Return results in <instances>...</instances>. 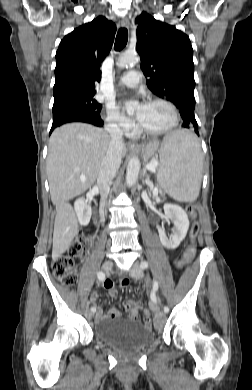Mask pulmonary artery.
<instances>
[{"instance_id":"1","label":"pulmonary artery","mask_w":252,"mask_h":390,"mask_svg":"<svg viewBox=\"0 0 252 390\" xmlns=\"http://www.w3.org/2000/svg\"><path fill=\"white\" fill-rule=\"evenodd\" d=\"M140 83V73L137 70H131L120 78L119 84L123 87L133 88Z\"/></svg>"}]
</instances>
